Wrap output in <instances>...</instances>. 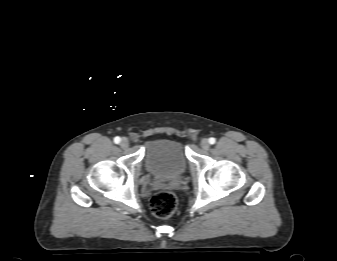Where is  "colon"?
<instances>
[{
  "label": "colon",
  "instance_id": "5ec220e1",
  "mask_svg": "<svg viewBox=\"0 0 337 261\" xmlns=\"http://www.w3.org/2000/svg\"><path fill=\"white\" fill-rule=\"evenodd\" d=\"M178 199L169 191L157 192L151 199L150 207L153 214L159 218H169L177 210Z\"/></svg>",
  "mask_w": 337,
  "mask_h": 261
}]
</instances>
